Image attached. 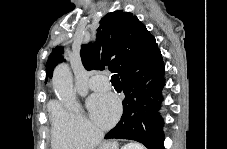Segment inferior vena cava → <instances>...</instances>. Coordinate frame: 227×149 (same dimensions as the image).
<instances>
[{
  "mask_svg": "<svg viewBox=\"0 0 227 149\" xmlns=\"http://www.w3.org/2000/svg\"><path fill=\"white\" fill-rule=\"evenodd\" d=\"M92 137L94 139H96V142H99L103 139V133L102 132H98V131H95L92 135Z\"/></svg>",
  "mask_w": 227,
  "mask_h": 149,
  "instance_id": "obj_1",
  "label": "inferior vena cava"
}]
</instances>
